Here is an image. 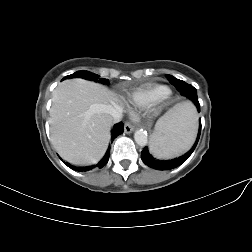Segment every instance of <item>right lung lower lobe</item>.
I'll list each match as a JSON object with an SVG mask.
<instances>
[{"mask_svg": "<svg viewBox=\"0 0 252 252\" xmlns=\"http://www.w3.org/2000/svg\"><path fill=\"white\" fill-rule=\"evenodd\" d=\"M124 132V125L122 122L118 123V124H115L112 128V132H111V135H112V141L120 134H122ZM109 154H110V148H108L105 156L103 157V159L96 165H93V166H88V167H76V166H73V165H70L69 163L65 162V164L70 167L71 169L73 170H76V171H79V172H85V171H89L95 167H99V168H102L104 167L108 160H109Z\"/></svg>", "mask_w": 252, "mask_h": 252, "instance_id": "98d812e1", "label": "right lung lower lobe"}]
</instances>
